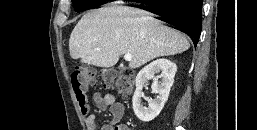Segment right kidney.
<instances>
[{
	"mask_svg": "<svg viewBox=\"0 0 257 130\" xmlns=\"http://www.w3.org/2000/svg\"><path fill=\"white\" fill-rule=\"evenodd\" d=\"M177 71L175 63L167 59H158L144 67L136 77V90L132 99L133 110L137 118L143 122L152 121L162 111L168 100L170 89L174 82V76ZM161 72L162 81L158 83L156 73ZM153 79L152 89L158 94L157 98L148 99V108L143 107L141 98L144 96L143 87L147 85L148 80Z\"/></svg>",
	"mask_w": 257,
	"mask_h": 130,
	"instance_id": "right-kidney-1",
	"label": "right kidney"
}]
</instances>
